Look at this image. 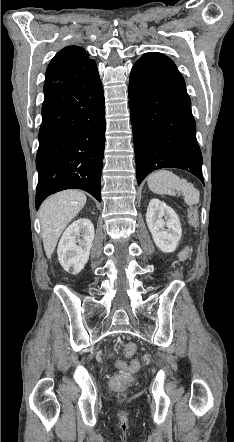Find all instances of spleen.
<instances>
[{
  "label": "spleen",
  "mask_w": 234,
  "mask_h": 442,
  "mask_svg": "<svg viewBox=\"0 0 234 442\" xmlns=\"http://www.w3.org/2000/svg\"><path fill=\"white\" fill-rule=\"evenodd\" d=\"M147 183L154 193L175 196L177 192H181L187 205L191 206L199 202L200 194L193 184L169 170L161 169L150 174Z\"/></svg>",
  "instance_id": "1"
}]
</instances>
